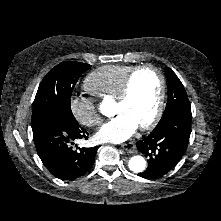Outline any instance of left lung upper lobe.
Wrapping results in <instances>:
<instances>
[{"mask_svg":"<svg viewBox=\"0 0 221 221\" xmlns=\"http://www.w3.org/2000/svg\"><path fill=\"white\" fill-rule=\"evenodd\" d=\"M164 71L168 85V100L161 119L176 111L191 110L186 91L179 78L170 68H165Z\"/></svg>","mask_w":221,"mask_h":221,"instance_id":"obj_1","label":"left lung upper lobe"}]
</instances>
